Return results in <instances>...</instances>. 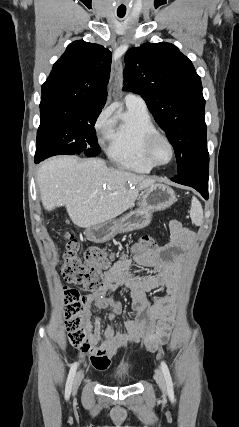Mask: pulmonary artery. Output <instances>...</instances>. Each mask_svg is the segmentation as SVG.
Wrapping results in <instances>:
<instances>
[{
  "label": "pulmonary artery",
  "mask_w": 239,
  "mask_h": 427,
  "mask_svg": "<svg viewBox=\"0 0 239 427\" xmlns=\"http://www.w3.org/2000/svg\"><path fill=\"white\" fill-rule=\"evenodd\" d=\"M125 103L126 105H132L147 109L145 101L138 94L135 93H127L125 96Z\"/></svg>",
  "instance_id": "1"
}]
</instances>
